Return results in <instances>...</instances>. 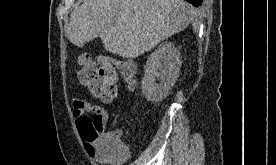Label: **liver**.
Returning a JSON list of instances; mask_svg holds the SVG:
<instances>
[{
	"instance_id": "6515ba94",
	"label": "liver",
	"mask_w": 276,
	"mask_h": 165,
	"mask_svg": "<svg viewBox=\"0 0 276 165\" xmlns=\"http://www.w3.org/2000/svg\"><path fill=\"white\" fill-rule=\"evenodd\" d=\"M196 15L183 0H84L70 15L67 37L77 47L100 37L110 53L136 58L186 29Z\"/></svg>"
}]
</instances>
